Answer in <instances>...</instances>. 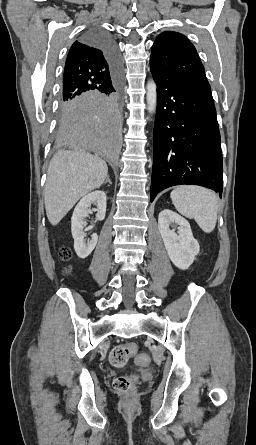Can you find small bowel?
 <instances>
[{
    "instance_id": "c3829d8e",
    "label": "small bowel",
    "mask_w": 256,
    "mask_h": 445,
    "mask_svg": "<svg viewBox=\"0 0 256 445\" xmlns=\"http://www.w3.org/2000/svg\"><path fill=\"white\" fill-rule=\"evenodd\" d=\"M139 358L142 359V361L140 362L143 366H146L148 363V357L144 354L140 355Z\"/></svg>"
}]
</instances>
